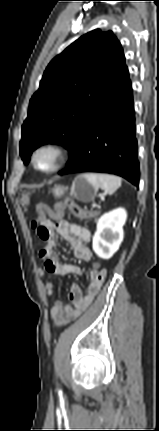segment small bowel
<instances>
[{"instance_id": "obj_1", "label": "small bowel", "mask_w": 159, "mask_h": 431, "mask_svg": "<svg viewBox=\"0 0 159 431\" xmlns=\"http://www.w3.org/2000/svg\"><path fill=\"white\" fill-rule=\"evenodd\" d=\"M57 219V222L48 219L43 224L42 229L37 231L41 240L46 243L39 252V257L44 262V265L38 268V273L40 275L49 273L57 276L80 274L82 271L79 266L62 262L55 254L54 248L57 244V236L70 242L76 258L89 261L92 258V252L86 244L90 241L91 234L86 228L60 218ZM105 272L106 269L100 265L99 268H92L90 271V283L85 291L77 284H72L69 293L70 302L64 303L57 300L54 303L51 316L55 327H62L69 323L89 307L100 292L105 280ZM44 290L48 295L55 293L52 282H47Z\"/></svg>"}]
</instances>
